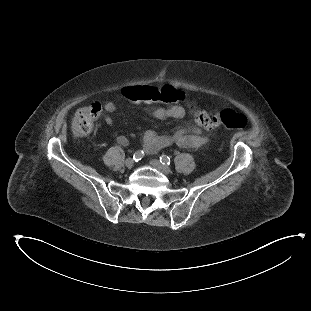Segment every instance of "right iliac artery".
<instances>
[{"label":"right iliac artery","mask_w":311,"mask_h":311,"mask_svg":"<svg viewBox=\"0 0 311 311\" xmlns=\"http://www.w3.org/2000/svg\"><path fill=\"white\" fill-rule=\"evenodd\" d=\"M145 153L143 150H138L133 155V160L139 161L144 157Z\"/></svg>","instance_id":"1"}]
</instances>
